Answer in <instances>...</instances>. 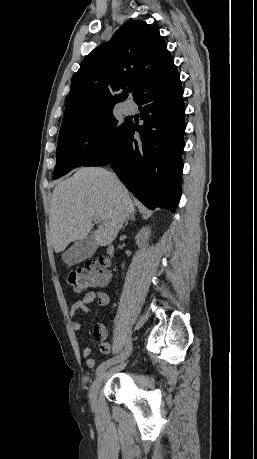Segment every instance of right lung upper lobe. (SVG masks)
I'll list each match as a JSON object with an SVG mask.
<instances>
[{
	"label": "right lung upper lobe",
	"mask_w": 257,
	"mask_h": 459,
	"mask_svg": "<svg viewBox=\"0 0 257 459\" xmlns=\"http://www.w3.org/2000/svg\"><path fill=\"white\" fill-rule=\"evenodd\" d=\"M177 72L158 29L133 20L86 56L72 78L60 133L65 129L113 110L134 87V101L170 79ZM120 90L123 92L118 93Z\"/></svg>",
	"instance_id": "1"
}]
</instances>
